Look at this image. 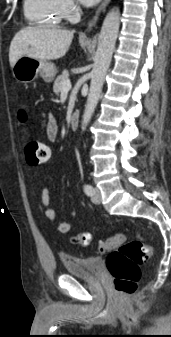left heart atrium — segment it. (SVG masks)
Segmentation results:
<instances>
[{
	"label": "left heart atrium",
	"mask_w": 171,
	"mask_h": 337,
	"mask_svg": "<svg viewBox=\"0 0 171 337\" xmlns=\"http://www.w3.org/2000/svg\"><path fill=\"white\" fill-rule=\"evenodd\" d=\"M84 5L90 6L97 3L99 0H80Z\"/></svg>",
	"instance_id": "39dd6f15"
}]
</instances>
